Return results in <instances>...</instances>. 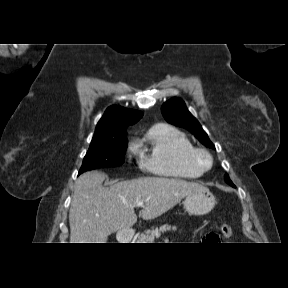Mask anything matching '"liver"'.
<instances>
[{
    "instance_id": "6515ba94",
    "label": "liver",
    "mask_w": 288,
    "mask_h": 288,
    "mask_svg": "<svg viewBox=\"0 0 288 288\" xmlns=\"http://www.w3.org/2000/svg\"><path fill=\"white\" fill-rule=\"evenodd\" d=\"M106 177L89 171L76 180L69 210L71 243H106L111 233L128 232L137 222V202H144L139 216L151 220L202 188L197 183L164 177L120 181L104 187Z\"/></svg>"
}]
</instances>
